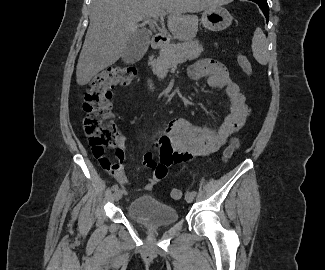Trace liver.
<instances>
[{"mask_svg": "<svg viewBox=\"0 0 325 270\" xmlns=\"http://www.w3.org/2000/svg\"><path fill=\"white\" fill-rule=\"evenodd\" d=\"M230 0H92L90 24L78 59L76 81L84 86L123 55L137 32V17L168 15V29L180 40L192 39L198 31L194 13L219 7ZM156 19V18H155Z\"/></svg>", "mask_w": 325, "mask_h": 270, "instance_id": "6515ba94", "label": "liver"}]
</instances>
